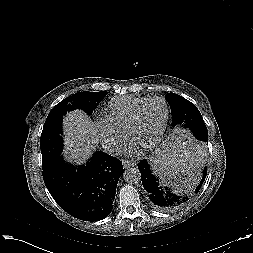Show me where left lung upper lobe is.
Instances as JSON below:
<instances>
[{
    "instance_id": "left-lung-upper-lobe-1",
    "label": "left lung upper lobe",
    "mask_w": 253,
    "mask_h": 253,
    "mask_svg": "<svg viewBox=\"0 0 253 253\" xmlns=\"http://www.w3.org/2000/svg\"><path fill=\"white\" fill-rule=\"evenodd\" d=\"M165 99L171 108L173 126L189 128L196 138L192 143L203 151L208 141V131L199 110L193 103L175 93H167Z\"/></svg>"
}]
</instances>
